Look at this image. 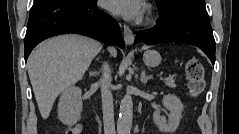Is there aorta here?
I'll return each mask as SVG.
<instances>
[{
  "mask_svg": "<svg viewBox=\"0 0 239 134\" xmlns=\"http://www.w3.org/2000/svg\"><path fill=\"white\" fill-rule=\"evenodd\" d=\"M133 119V101L130 94H126L120 103V113L117 121L118 134H130Z\"/></svg>",
  "mask_w": 239,
  "mask_h": 134,
  "instance_id": "1",
  "label": "aorta"
}]
</instances>
